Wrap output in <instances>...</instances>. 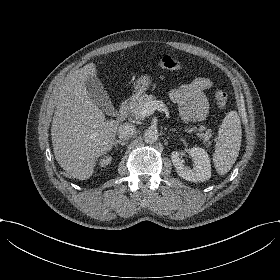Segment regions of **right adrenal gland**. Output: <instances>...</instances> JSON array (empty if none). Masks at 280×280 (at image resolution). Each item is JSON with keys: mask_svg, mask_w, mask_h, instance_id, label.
<instances>
[{"mask_svg": "<svg viewBox=\"0 0 280 280\" xmlns=\"http://www.w3.org/2000/svg\"><path fill=\"white\" fill-rule=\"evenodd\" d=\"M117 143L123 146V145L126 144V141H122V140H119V139H116V138H115V139L113 140V145L116 146Z\"/></svg>", "mask_w": 280, "mask_h": 280, "instance_id": "obj_1", "label": "right adrenal gland"}]
</instances>
